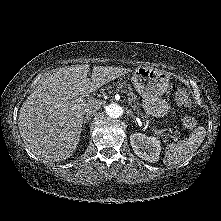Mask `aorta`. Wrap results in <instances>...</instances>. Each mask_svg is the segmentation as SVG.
<instances>
[{
  "label": "aorta",
  "instance_id": "obj_1",
  "mask_svg": "<svg viewBox=\"0 0 221 221\" xmlns=\"http://www.w3.org/2000/svg\"><path fill=\"white\" fill-rule=\"evenodd\" d=\"M106 113L110 118H119L123 114V109L120 105L112 103L107 106Z\"/></svg>",
  "mask_w": 221,
  "mask_h": 221
}]
</instances>
